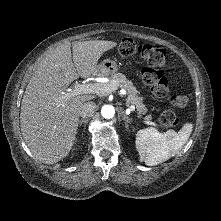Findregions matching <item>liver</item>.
<instances>
[{"label": "liver", "instance_id": "6515ba94", "mask_svg": "<svg viewBox=\"0 0 221 221\" xmlns=\"http://www.w3.org/2000/svg\"><path fill=\"white\" fill-rule=\"evenodd\" d=\"M116 46V42L102 40L66 42L40 61L22 99L20 126L26 145L41 162L54 164L69 154L80 108L94 96L65 98L64 93L77 78L95 75L100 57Z\"/></svg>", "mask_w": 221, "mask_h": 221}]
</instances>
